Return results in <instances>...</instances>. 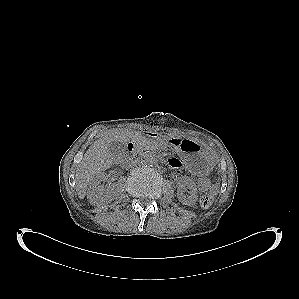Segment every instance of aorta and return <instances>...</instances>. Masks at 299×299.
Here are the masks:
<instances>
[{
  "label": "aorta",
  "instance_id": "1",
  "mask_svg": "<svg viewBox=\"0 0 299 299\" xmlns=\"http://www.w3.org/2000/svg\"><path fill=\"white\" fill-rule=\"evenodd\" d=\"M141 161L146 166H155L159 162V156L154 151H147L142 155Z\"/></svg>",
  "mask_w": 299,
  "mask_h": 299
}]
</instances>
